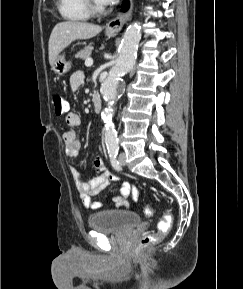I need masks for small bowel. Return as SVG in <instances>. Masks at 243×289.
<instances>
[{"label":"small bowel","mask_w":243,"mask_h":289,"mask_svg":"<svg viewBox=\"0 0 243 289\" xmlns=\"http://www.w3.org/2000/svg\"><path fill=\"white\" fill-rule=\"evenodd\" d=\"M84 75L81 71L75 72L70 78V88L72 91H76L83 83ZM66 123L71 128L63 133L62 141L64 144L65 155L69 159L76 158L80 152L81 143L77 137L74 128L81 125V116L77 112H69L66 115ZM93 165L98 173L96 177L89 181L82 182L78 179L76 170L72 169L73 176L76 180V186L79 191L80 198L83 205L87 209H99L103 206L102 202L94 201L93 196L106 189L111 182L119 180V177L108 170L105 166L103 159L97 155L93 160ZM132 194L134 201L138 198L137 188L129 182H122L120 186V195H111L110 199L115 203L117 207L124 206L129 207V203L126 200L127 197Z\"/></svg>","instance_id":"c3829d8e"}]
</instances>
